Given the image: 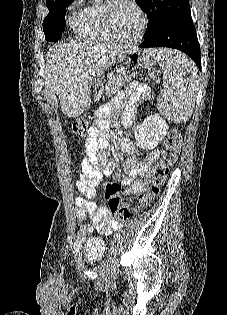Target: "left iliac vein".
Wrapping results in <instances>:
<instances>
[{
    "mask_svg": "<svg viewBox=\"0 0 227 315\" xmlns=\"http://www.w3.org/2000/svg\"><path fill=\"white\" fill-rule=\"evenodd\" d=\"M117 247H118V241L115 240V241L112 243V246H111L112 251H116V250H117Z\"/></svg>",
    "mask_w": 227,
    "mask_h": 315,
    "instance_id": "1",
    "label": "left iliac vein"
}]
</instances>
